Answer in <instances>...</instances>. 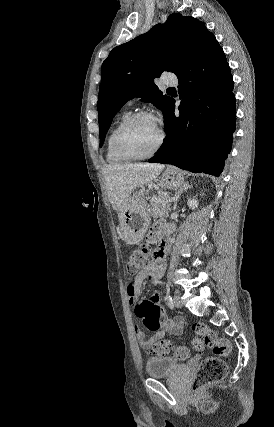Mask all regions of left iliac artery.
Instances as JSON below:
<instances>
[{
	"instance_id": "1",
	"label": "left iliac artery",
	"mask_w": 274,
	"mask_h": 427,
	"mask_svg": "<svg viewBox=\"0 0 274 427\" xmlns=\"http://www.w3.org/2000/svg\"><path fill=\"white\" fill-rule=\"evenodd\" d=\"M167 302H168V305H169L171 308H173L174 303H173V299H172V297H171L170 295H168V297H167Z\"/></svg>"
}]
</instances>
